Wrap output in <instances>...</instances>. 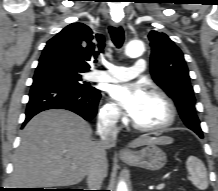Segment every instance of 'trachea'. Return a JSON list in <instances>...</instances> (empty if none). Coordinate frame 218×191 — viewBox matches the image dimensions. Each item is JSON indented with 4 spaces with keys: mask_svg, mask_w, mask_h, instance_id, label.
<instances>
[{
    "mask_svg": "<svg viewBox=\"0 0 218 191\" xmlns=\"http://www.w3.org/2000/svg\"><path fill=\"white\" fill-rule=\"evenodd\" d=\"M112 41L117 48H121L124 42V31L121 27H109Z\"/></svg>",
    "mask_w": 218,
    "mask_h": 191,
    "instance_id": "obj_1",
    "label": "trachea"
}]
</instances>
